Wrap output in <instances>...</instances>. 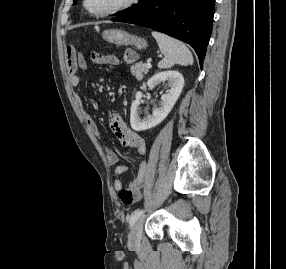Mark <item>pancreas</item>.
Listing matches in <instances>:
<instances>
[{"instance_id": "obj_1", "label": "pancreas", "mask_w": 286, "mask_h": 269, "mask_svg": "<svg viewBox=\"0 0 286 269\" xmlns=\"http://www.w3.org/2000/svg\"><path fill=\"white\" fill-rule=\"evenodd\" d=\"M131 74L136 77L137 80H142L144 75L148 73V68L142 62H139L130 67Z\"/></svg>"}]
</instances>
